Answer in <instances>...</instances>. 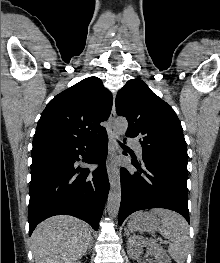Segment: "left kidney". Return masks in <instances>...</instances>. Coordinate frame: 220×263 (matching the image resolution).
<instances>
[{"mask_svg":"<svg viewBox=\"0 0 220 263\" xmlns=\"http://www.w3.org/2000/svg\"><path fill=\"white\" fill-rule=\"evenodd\" d=\"M147 246L150 255L154 256L156 263H171L165 251L153 240H147L141 236L133 235L127 242V253L130 258L137 259L142 253V247Z\"/></svg>","mask_w":220,"mask_h":263,"instance_id":"1","label":"left kidney"}]
</instances>
